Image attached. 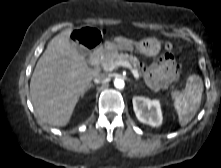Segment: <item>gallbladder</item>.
Returning <instances> with one entry per match:
<instances>
[{
	"label": "gallbladder",
	"mask_w": 221,
	"mask_h": 168,
	"mask_svg": "<svg viewBox=\"0 0 221 168\" xmlns=\"http://www.w3.org/2000/svg\"><path fill=\"white\" fill-rule=\"evenodd\" d=\"M74 47L80 55H82L84 57H86L88 55V50L86 47H84L78 43H74Z\"/></svg>",
	"instance_id": "obj_1"
}]
</instances>
